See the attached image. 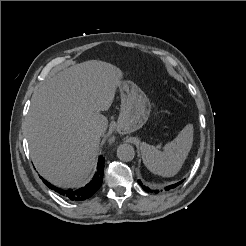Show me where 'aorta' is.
Here are the masks:
<instances>
[{"instance_id": "obj_1", "label": "aorta", "mask_w": 246, "mask_h": 246, "mask_svg": "<svg viewBox=\"0 0 246 246\" xmlns=\"http://www.w3.org/2000/svg\"><path fill=\"white\" fill-rule=\"evenodd\" d=\"M117 157L122 161H132L135 157V150L132 145L124 143L117 149Z\"/></svg>"}]
</instances>
